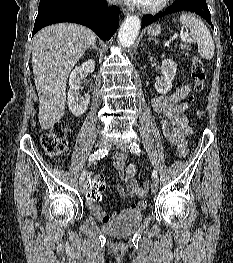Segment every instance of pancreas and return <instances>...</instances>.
<instances>
[{"label": "pancreas", "instance_id": "cf45deb5", "mask_svg": "<svg viewBox=\"0 0 233 263\" xmlns=\"http://www.w3.org/2000/svg\"><path fill=\"white\" fill-rule=\"evenodd\" d=\"M180 49L183 50V53H185V55H189V50L191 49L190 46L188 44H181L180 45Z\"/></svg>", "mask_w": 233, "mask_h": 263}]
</instances>
